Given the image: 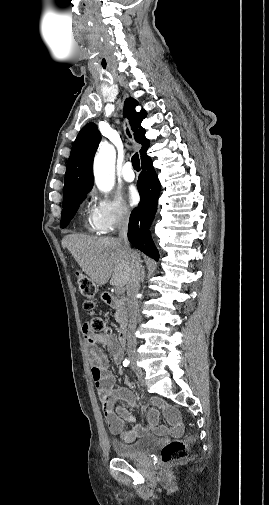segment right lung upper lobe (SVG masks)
Masks as SVG:
<instances>
[{"instance_id":"1","label":"right lung upper lobe","mask_w":269,"mask_h":505,"mask_svg":"<svg viewBox=\"0 0 269 505\" xmlns=\"http://www.w3.org/2000/svg\"><path fill=\"white\" fill-rule=\"evenodd\" d=\"M137 105L138 102L135 99H126L124 102V117L127 116L129 120L136 142L142 144L140 154L141 160H143L147 157L146 151L150 142L145 137V129L141 126L142 120L146 117V112L142 109L137 113L135 110ZM100 139V133L94 123L85 125L79 132L72 145L67 163L63 201L78 193L91 190L93 186V157Z\"/></svg>"}]
</instances>
